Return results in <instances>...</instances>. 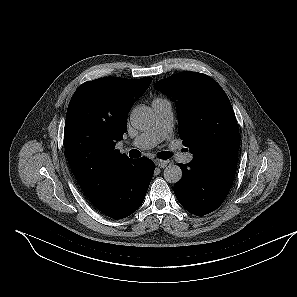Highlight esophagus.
I'll list each match as a JSON object with an SVG mask.
<instances>
[{"label": "esophagus", "mask_w": 297, "mask_h": 297, "mask_svg": "<svg viewBox=\"0 0 297 297\" xmlns=\"http://www.w3.org/2000/svg\"><path fill=\"white\" fill-rule=\"evenodd\" d=\"M169 160H160V159H155L154 163L156 166L164 168L165 166H167L169 164Z\"/></svg>", "instance_id": "esophagus-1"}]
</instances>
